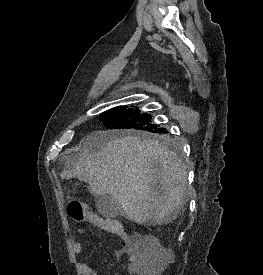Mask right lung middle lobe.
<instances>
[{
	"instance_id": "right-lung-middle-lobe-1",
	"label": "right lung middle lobe",
	"mask_w": 263,
	"mask_h": 275,
	"mask_svg": "<svg viewBox=\"0 0 263 275\" xmlns=\"http://www.w3.org/2000/svg\"><path fill=\"white\" fill-rule=\"evenodd\" d=\"M100 120L109 129H130L138 132L141 138H150L158 142L175 144V140L164 128L152 123L151 115L140 114L137 109L118 106L103 112Z\"/></svg>"
}]
</instances>
